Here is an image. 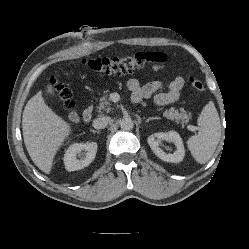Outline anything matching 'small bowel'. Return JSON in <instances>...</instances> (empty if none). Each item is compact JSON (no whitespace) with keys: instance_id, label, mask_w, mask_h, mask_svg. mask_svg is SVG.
Here are the masks:
<instances>
[{"instance_id":"obj_1","label":"small bowel","mask_w":249,"mask_h":249,"mask_svg":"<svg viewBox=\"0 0 249 249\" xmlns=\"http://www.w3.org/2000/svg\"><path fill=\"white\" fill-rule=\"evenodd\" d=\"M161 69V67L154 68L155 71ZM183 86L184 79L181 76L173 78L165 87L164 91H161L164 88V85L160 81H151L141 85L138 79L131 78L127 82V87L132 93V99L134 102L138 103L155 94L154 101L159 106L176 102L180 97Z\"/></svg>"}]
</instances>
